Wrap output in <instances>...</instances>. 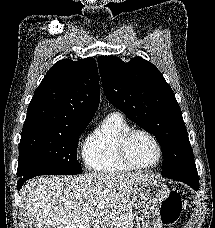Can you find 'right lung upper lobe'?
<instances>
[{
	"label": "right lung upper lobe",
	"instance_id": "cb5924a9",
	"mask_svg": "<svg viewBox=\"0 0 215 228\" xmlns=\"http://www.w3.org/2000/svg\"><path fill=\"white\" fill-rule=\"evenodd\" d=\"M99 101L95 60H60L49 69L35 90L23 131L50 125L90 122Z\"/></svg>",
	"mask_w": 215,
	"mask_h": 228
}]
</instances>
